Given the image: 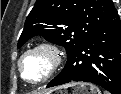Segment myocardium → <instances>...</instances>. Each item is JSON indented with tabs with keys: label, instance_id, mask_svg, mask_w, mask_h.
Segmentation results:
<instances>
[{
	"label": "myocardium",
	"instance_id": "myocardium-1",
	"mask_svg": "<svg viewBox=\"0 0 121 94\" xmlns=\"http://www.w3.org/2000/svg\"><path fill=\"white\" fill-rule=\"evenodd\" d=\"M35 53H41L46 56L48 60V69L40 79L32 81L25 77L22 64L26 57ZM62 62L63 56L60 48L56 44L50 42H40L31 46L22 53L17 62V66L24 81L32 85H41L50 80L57 73Z\"/></svg>",
	"mask_w": 121,
	"mask_h": 94
}]
</instances>
